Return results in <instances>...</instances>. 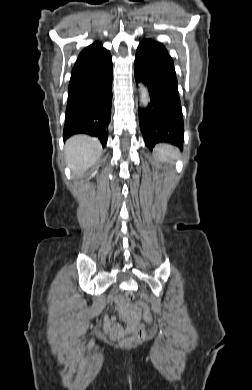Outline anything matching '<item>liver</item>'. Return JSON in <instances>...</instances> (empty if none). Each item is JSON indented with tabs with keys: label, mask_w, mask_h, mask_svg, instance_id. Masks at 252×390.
Returning a JSON list of instances; mask_svg holds the SVG:
<instances>
[{
	"label": "liver",
	"mask_w": 252,
	"mask_h": 390,
	"mask_svg": "<svg viewBox=\"0 0 252 390\" xmlns=\"http://www.w3.org/2000/svg\"><path fill=\"white\" fill-rule=\"evenodd\" d=\"M102 152L97 138L87 135H75L65 144L67 165L74 174H82L96 163Z\"/></svg>",
	"instance_id": "liver-1"
}]
</instances>
